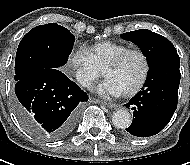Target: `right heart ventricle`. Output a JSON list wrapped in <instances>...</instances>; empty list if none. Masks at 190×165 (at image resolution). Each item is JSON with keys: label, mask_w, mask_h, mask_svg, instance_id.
Listing matches in <instances>:
<instances>
[{"label": "right heart ventricle", "mask_w": 190, "mask_h": 165, "mask_svg": "<svg viewBox=\"0 0 190 165\" xmlns=\"http://www.w3.org/2000/svg\"><path fill=\"white\" fill-rule=\"evenodd\" d=\"M130 49L129 46L114 41H101L89 46L88 51L97 66L103 70L104 67L117 55Z\"/></svg>", "instance_id": "obj_1"}]
</instances>
